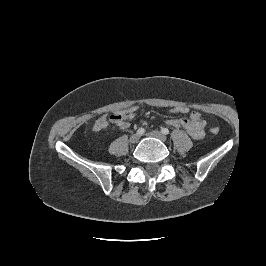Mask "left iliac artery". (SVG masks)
<instances>
[{"label":"left iliac artery","instance_id":"left-iliac-artery-1","mask_svg":"<svg viewBox=\"0 0 266 266\" xmlns=\"http://www.w3.org/2000/svg\"><path fill=\"white\" fill-rule=\"evenodd\" d=\"M161 132L165 135L169 134V130L167 128H162Z\"/></svg>","mask_w":266,"mask_h":266}]
</instances>
